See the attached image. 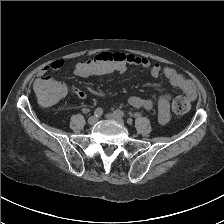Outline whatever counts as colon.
Wrapping results in <instances>:
<instances>
[{
  "instance_id": "colon-1",
  "label": "colon",
  "mask_w": 224,
  "mask_h": 224,
  "mask_svg": "<svg viewBox=\"0 0 224 224\" xmlns=\"http://www.w3.org/2000/svg\"><path fill=\"white\" fill-rule=\"evenodd\" d=\"M77 68L88 76L123 73L126 70L122 61L113 53L99 54L91 60L81 62ZM34 90L39 102L48 107L60 101L67 93L68 88L50 77H45L36 82ZM191 107L190 99L185 96H177L172 102V110L177 115L187 114Z\"/></svg>"
}]
</instances>
